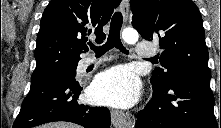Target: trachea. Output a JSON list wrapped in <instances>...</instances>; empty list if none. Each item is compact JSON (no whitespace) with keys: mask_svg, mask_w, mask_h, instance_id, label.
<instances>
[{"mask_svg":"<svg viewBox=\"0 0 221 128\" xmlns=\"http://www.w3.org/2000/svg\"><path fill=\"white\" fill-rule=\"evenodd\" d=\"M122 23H123L122 14L120 12H116L111 20L107 42L99 47L95 46L94 44H89L90 48L95 52L97 57L105 54L107 51H109L114 47L119 49L123 53L126 54L129 53V51H127L126 48L122 45L120 39V30L122 27ZM97 43L101 44V42Z\"/></svg>","mask_w":221,"mask_h":128,"instance_id":"trachea-1","label":"trachea"}]
</instances>
